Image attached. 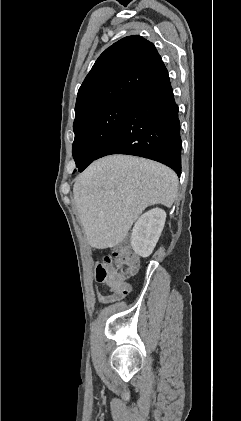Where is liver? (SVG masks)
<instances>
[{
	"label": "liver",
	"mask_w": 241,
	"mask_h": 421,
	"mask_svg": "<svg viewBox=\"0 0 241 421\" xmlns=\"http://www.w3.org/2000/svg\"><path fill=\"white\" fill-rule=\"evenodd\" d=\"M178 177L167 166L128 155L93 162L75 181L74 204L88 243L106 249L122 243L148 206L171 207Z\"/></svg>",
	"instance_id": "liver-1"
}]
</instances>
